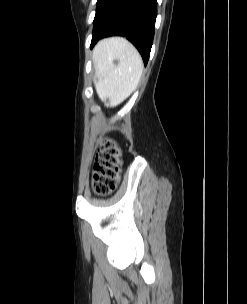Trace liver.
<instances>
[{"label":"liver","mask_w":247,"mask_h":304,"mask_svg":"<svg viewBox=\"0 0 247 304\" xmlns=\"http://www.w3.org/2000/svg\"><path fill=\"white\" fill-rule=\"evenodd\" d=\"M92 58L99 98L104 103L108 99V107L119 105L139 84L143 71L139 52L125 38L112 37L98 42Z\"/></svg>","instance_id":"1"}]
</instances>
